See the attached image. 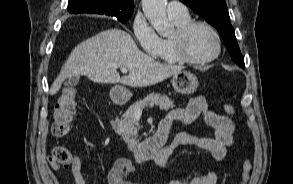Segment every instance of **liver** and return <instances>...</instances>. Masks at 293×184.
Returning <instances> with one entry per match:
<instances>
[{
    "label": "liver",
    "instance_id": "6515ba94",
    "mask_svg": "<svg viewBox=\"0 0 293 184\" xmlns=\"http://www.w3.org/2000/svg\"><path fill=\"white\" fill-rule=\"evenodd\" d=\"M118 68L129 74L120 77ZM180 65L161 64L141 52L133 38L121 29H108L78 44L54 80L50 95L65 79L85 75L96 83H122L134 87L157 84L181 72Z\"/></svg>",
    "mask_w": 293,
    "mask_h": 184
}]
</instances>
